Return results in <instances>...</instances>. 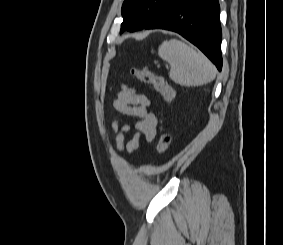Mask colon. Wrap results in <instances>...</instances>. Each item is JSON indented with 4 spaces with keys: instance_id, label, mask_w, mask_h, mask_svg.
Instances as JSON below:
<instances>
[{
    "instance_id": "colon-1",
    "label": "colon",
    "mask_w": 283,
    "mask_h": 245,
    "mask_svg": "<svg viewBox=\"0 0 283 245\" xmlns=\"http://www.w3.org/2000/svg\"><path fill=\"white\" fill-rule=\"evenodd\" d=\"M131 74L141 82L153 86L155 90L163 96V99L167 104L173 101L174 91L161 76L137 66L131 68ZM170 143V135L166 132L161 133L157 143L158 153L164 155L167 152Z\"/></svg>"
}]
</instances>
